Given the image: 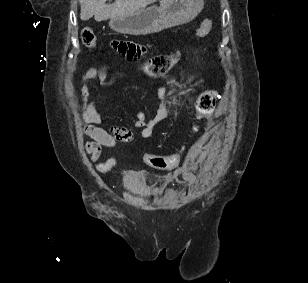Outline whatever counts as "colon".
<instances>
[{"mask_svg":"<svg viewBox=\"0 0 308 283\" xmlns=\"http://www.w3.org/2000/svg\"><path fill=\"white\" fill-rule=\"evenodd\" d=\"M212 29V20H205L200 27L197 28L195 35L199 38L207 36ZM82 42L89 48H95L97 45V37L90 27H84L81 31ZM178 56L176 54H160L151 57L142 66L143 72L150 77L165 76L177 63ZM218 92L215 89H207L200 93L195 101V118L196 124L194 130H197L199 123L208 118L215 108L218 99ZM181 151L166 156L148 154L145 160L148 165L156 169L174 168L180 158Z\"/></svg>","mask_w":308,"mask_h":283,"instance_id":"5ec220e1","label":"colon"}]
</instances>
